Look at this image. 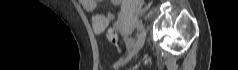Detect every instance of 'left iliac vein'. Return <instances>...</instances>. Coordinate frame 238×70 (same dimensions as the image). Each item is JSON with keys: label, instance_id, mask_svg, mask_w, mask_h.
I'll list each match as a JSON object with an SVG mask.
<instances>
[{"label": "left iliac vein", "instance_id": "left-iliac-vein-1", "mask_svg": "<svg viewBox=\"0 0 238 70\" xmlns=\"http://www.w3.org/2000/svg\"><path fill=\"white\" fill-rule=\"evenodd\" d=\"M145 39H146V31L145 29H143L138 35L136 43L131 49V51L129 52L127 58L124 61L120 62L119 64L122 65L128 60H130L132 57H134L139 52V50L143 47Z\"/></svg>", "mask_w": 238, "mask_h": 70}]
</instances>
